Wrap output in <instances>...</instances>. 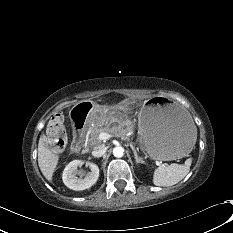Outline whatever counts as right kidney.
Masks as SVG:
<instances>
[{"mask_svg":"<svg viewBox=\"0 0 233 233\" xmlns=\"http://www.w3.org/2000/svg\"><path fill=\"white\" fill-rule=\"evenodd\" d=\"M83 162L80 160L71 161L64 169L62 179L64 184L76 191L85 190L94 185L99 177V168L96 164L90 163L89 168L90 172L86 175L77 170L78 166ZM78 175L80 177H78ZM85 176L84 178H82Z\"/></svg>","mask_w":233,"mask_h":233,"instance_id":"right-kidney-1","label":"right kidney"}]
</instances>
